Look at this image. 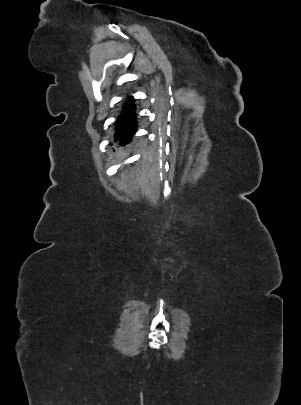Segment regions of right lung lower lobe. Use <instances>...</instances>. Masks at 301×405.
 <instances>
[{
	"mask_svg": "<svg viewBox=\"0 0 301 405\" xmlns=\"http://www.w3.org/2000/svg\"><path fill=\"white\" fill-rule=\"evenodd\" d=\"M134 99L132 96L129 97V101H126L123 106L122 112L117 116L114 123L115 134L114 142L119 145H126L130 143L133 135L137 131L136 125V107L133 104Z\"/></svg>",
	"mask_w": 301,
	"mask_h": 405,
	"instance_id": "1",
	"label": "right lung lower lobe"
}]
</instances>
